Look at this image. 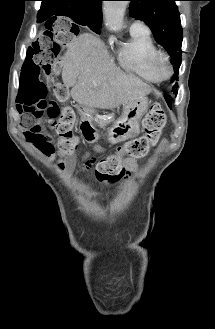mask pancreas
I'll list each match as a JSON object with an SVG mask.
<instances>
[{"label": "pancreas", "instance_id": "obj_1", "mask_svg": "<svg viewBox=\"0 0 215 329\" xmlns=\"http://www.w3.org/2000/svg\"><path fill=\"white\" fill-rule=\"evenodd\" d=\"M95 124L100 127L105 129V127L110 124V123H115L114 118L112 119H108V118H96L95 120Z\"/></svg>", "mask_w": 215, "mask_h": 329}]
</instances>
